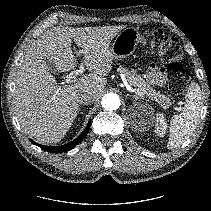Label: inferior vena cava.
Returning a JSON list of instances; mask_svg holds the SVG:
<instances>
[{"label":"inferior vena cava","mask_w":211,"mask_h":211,"mask_svg":"<svg viewBox=\"0 0 211 211\" xmlns=\"http://www.w3.org/2000/svg\"><path fill=\"white\" fill-rule=\"evenodd\" d=\"M94 101V95L92 93H82L78 97V103L83 105L91 104Z\"/></svg>","instance_id":"obj_1"}]
</instances>
